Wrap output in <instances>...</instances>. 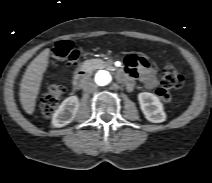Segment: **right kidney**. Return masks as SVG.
I'll return each mask as SVG.
<instances>
[{
	"mask_svg": "<svg viewBox=\"0 0 212 183\" xmlns=\"http://www.w3.org/2000/svg\"><path fill=\"white\" fill-rule=\"evenodd\" d=\"M79 109V99L77 96L66 98L55 111L52 117L54 127H63L71 123Z\"/></svg>",
	"mask_w": 212,
	"mask_h": 183,
	"instance_id": "1",
	"label": "right kidney"
}]
</instances>
